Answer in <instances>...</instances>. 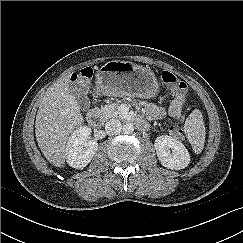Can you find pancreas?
<instances>
[{
	"instance_id": "1",
	"label": "pancreas",
	"mask_w": 243,
	"mask_h": 243,
	"mask_svg": "<svg viewBox=\"0 0 243 243\" xmlns=\"http://www.w3.org/2000/svg\"><path fill=\"white\" fill-rule=\"evenodd\" d=\"M100 112L104 119L118 118L122 115L118 103L107 104L101 107Z\"/></svg>"
}]
</instances>
